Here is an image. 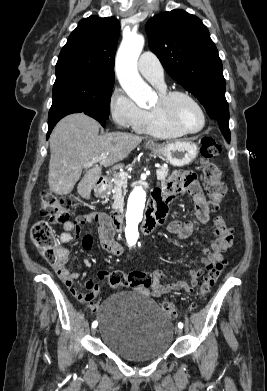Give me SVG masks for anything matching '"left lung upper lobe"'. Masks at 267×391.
<instances>
[{
    "instance_id": "left-lung-upper-lobe-1",
    "label": "left lung upper lobe",
    "mask_w": 267,
    "mask_h": 391,
    "mask_svg": "<svg viewBox=\"0 0 267 391\" xmlns=\"http://www.w3.org/2000/svg\"><path fill=\"white\" fill-rule=\"evenodd\" d=\"M146 31L149 48L167 73L203 104L212 119H229L222 62L202 21L176 9L152 17Z\"/></svg>"
}]
</instances>
